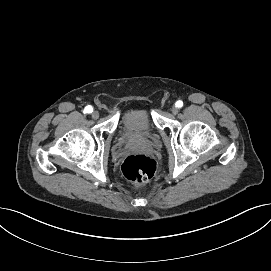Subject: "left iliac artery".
<instances>
[{
  "mask_svg": "<svg viewBox=\"0 0 271 271\" xmlns=\"http://www.w3.org/2000/svg\"><path fill=\"white\" fill-rule=\"evenodd\" d=\"M175 105H176V107L181 108L183 106V102L179 100L176 102Z\"/></svg>",
  "mask_w": 271,
  "mask_h": 271,
  "instance_id": "1",
  "label": "left iliac artery"
}]
</instances>
